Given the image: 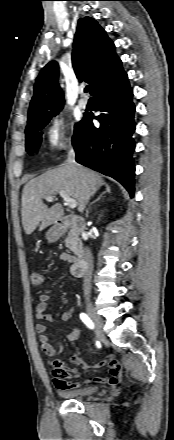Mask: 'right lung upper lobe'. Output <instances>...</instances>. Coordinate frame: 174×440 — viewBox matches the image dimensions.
Here are the masks:
<instances>
[{
	"instance_id": "obj_1",
	"label": "right lung upper lobe",
	"mask_w": 174,
	"mask_h": 440,
	"mask_svg": "<svg viewBox=\"0 0 174 440\" xmlns=\"http://www.w3.org/2000/svg\"><path fill=\"white\" fill-rule=\"evenodd\" d=\"M119 62L114 43L104 29L90 17L79 19L73 43L72 63L79 81L85 80L91 86V94ZM63 105V92L58 85V64L51 61L36 79L26 129L51 119Z\"/></svg>"
}]
</instances>
